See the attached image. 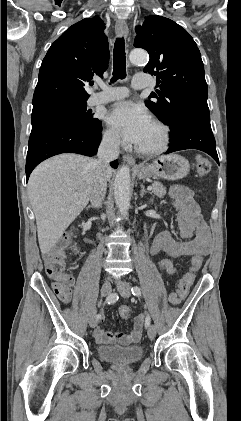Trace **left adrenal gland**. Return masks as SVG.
<instances>
[{
	"instance_id": "a2214340",
	"label": "left adrenal gland",
	"mask_w": 241,
	"mask_h": 421,
	"mask_svg": "<svg viewBox=\"0 0 241 421\" xmlns=\"http://www.w3.org/2000/svg\"><path fill=\"white\" fill-rule=\"evenodd\" d=\"M141 188H142L141 193H140V196H141V197H143V195H144L145 193H149V192L145 189L144 185H142V184H141Z\"/></svg>"
}]
</instances>
